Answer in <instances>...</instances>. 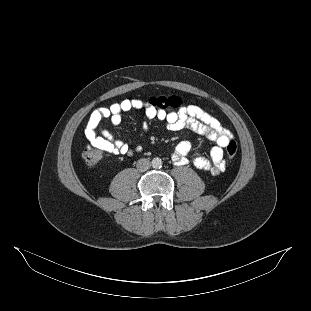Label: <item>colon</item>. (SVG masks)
<instances>
[{"label": "colon", "mask_w": 311, "mask_h": 311, "mask_svg": "<svg viewBox=\"0 0 311 311\" xmlns=\"http://www.w3.org/2000/svg\"><path fill=\"white\" fill-rule=\"evenodd\" d=\"M149 105L159 109L177 108L181 105V99L178 96H159L150 98ZM237 153V144L230 141L226 146L228 158L233 159ZM83 159L87 166L94 167L102 159V151L97 148H90L84 151Z\"/></svg>", "instance_id": "5ec220e1"}]
</instances>
